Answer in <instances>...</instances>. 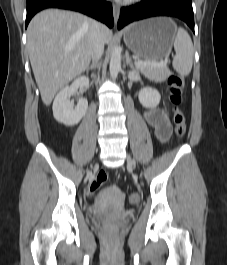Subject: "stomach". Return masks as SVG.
<instances>
[{"mask_svg":"<svg viewBox=\"0 0 227 265\" xmlns=\"http://www.w3.org/2000/svg\"><path fill=\"white\" fill-rule=\"evenodd\" d=\"M177 29L167 17H155L130 24L124 31L127 47L144 61H157L172 48Z\"/></svg>","mask_w":227,"mask_h":265,"instance_id":"0dacf381","label":"stomach"}]
</instances>
